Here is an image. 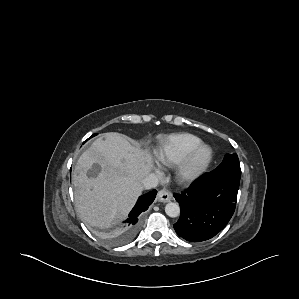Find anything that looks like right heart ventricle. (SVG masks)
I'll return each instance as SVG.
<instances>
[{"label":"right heart ventricle","mask_w":299,"mask_h":299,"mask_svg":"<svg viewBox=\"0 0 299 299\" xmlns=\"http://www.w3.org/2000/svg\"><path fill=\"white\" fill-rule=\"evenodd\" d=\"M200 144L201 139L195 135L173 134L161 140L156 157L163 165L173 167L180 164Z\"/></svg>","instance_id":"right-heart-ventricle-1"}]
</instances>
